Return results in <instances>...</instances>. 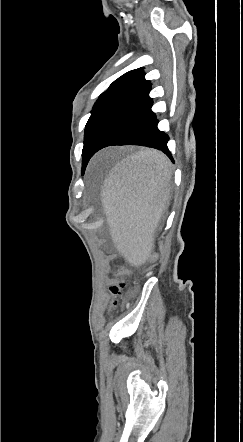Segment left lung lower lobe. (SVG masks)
<instances>
[{
	"mask_svg": "<svg viewBox=\"0 0 243 442\" xmlns=\"http://www.w3.org/2000/svg\"><path fill=\"white\" fill-rule=\"evenodd\" d=\"M150 90L151 83L145 80L108 111L83 152L86 163L97 151L111 145L156 148L174 161L167 147L168 135L157 128L159 121L151 110Z\"/></svg>",
	"mask_w": 243,
	"mask_h": 442,
	"instance_id": "1",
	"label": "left lung lower lobe"
}]
</instances>
